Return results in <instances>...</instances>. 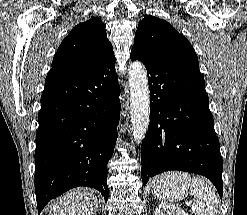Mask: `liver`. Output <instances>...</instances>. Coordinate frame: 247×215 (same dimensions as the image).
I'll return each mask as SVG.
<instances>
[{
    "label": "liver",
    "mask_w": 247,
    "mask_h": 215,
    "mask_svg": "<svg viewBox=\"0 0 247 215\" xmlns=\"http://www.w3.org/2000/svg\"><path fill=\"white\" fill-rule=\"evenodd\" d=\"M98 199L88 188L66 192L54 202L49 215H94Z\"/></svg>",
    "instance_id": "6515ba94"
}]
</instances>
